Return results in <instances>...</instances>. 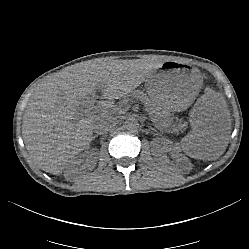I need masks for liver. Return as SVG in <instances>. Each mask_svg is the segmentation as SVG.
Returning <instances> with one entry per match:
<instances>
[{
  "label": "liver",
  "mask_w": 249,
  "mask_h": 249,
  "mask_svg": "<svg viewBox=\"0 0 249 249\" xmlns=\"http://www.w3.org/2000/svg\"><path fill=\"white\" fill-rule=\"evenodd\" d=\"M151 75L148 67L71 66L44 79L34 87L22 120L23 140L33 164L56 176L66 168L72 172L79 169L71 162L90 147L92 125L116 108L117 99L126 97ZM96 89L105 100L97 104V111L86 112L88 102L96 98ZM160 96L158 92L150 93V98L164 111L181 112L189 106L184 102L174 107L166 105ZM189 123L192 131L172 144L173 155L182 151L205 161L224 153L231 118L222 95L214 91L202 94L190 110Z\"/></svg>",
  "instance_id": "1"
}]
</instances>
